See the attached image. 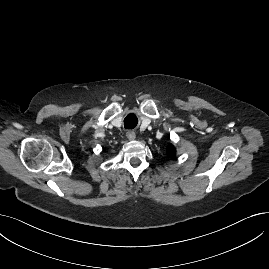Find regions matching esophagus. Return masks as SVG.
<instances>
[{
    "instance_id": "obj_1",
    "label": "esophagus",
    "mask_w": 269,
    "mask_h": 269,
    "mask_svg": "<svg viewBox=\"0 0 269 269\" xmlns=\"http://www.w3.org/2000/svg\"><path fill=\"white\" fill-rule=\"evenodd\" d=\"M126 136H127L128 140H135V138H136L135 132H133V131L127 132Z\"/></svg>"
}]
</instances>
